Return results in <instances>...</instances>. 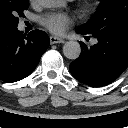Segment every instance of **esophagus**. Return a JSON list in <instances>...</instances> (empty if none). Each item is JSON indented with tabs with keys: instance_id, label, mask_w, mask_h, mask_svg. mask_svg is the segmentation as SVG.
<instances>
[{
	"instance_id": "1",
	"label": "esophagus",
	"mask_w": 128,
	"mask_h": 128,
	"mask_svg": "<svg viewBox=\"0 0 128 128\" xmlns=\"http://www.w3.org/2000/svg\"><path fill=\"white\" fill-rule=\"evenodd\" d=\"M65 40L59 37H55V36H50V44H58V43H64Z\"/></svg>"
}]
</instances>
